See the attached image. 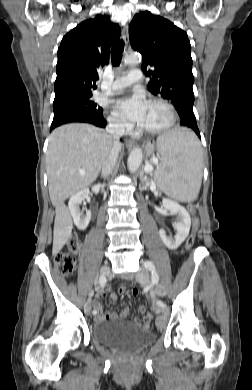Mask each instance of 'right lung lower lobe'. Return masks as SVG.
<instances>
[{"instance_id":"right-lung-lower-lobe-1","label":"right lung lower lobe","mask_w":252,"mask_h":390,"mask_svg":"<svg viewBox=\"0 0 252 390\" xmlns=\"http://www.w3.org/2000/svg\"><path fill=\"white\" fill-rule=\"evenodd\" d=\"M70 122H85L94 124L98 127L106 126V120L104 119L103 114L96 115L88 112L68 110L54 113V118L50 131L57 126Z\"/></svg>"}]
</instances>
